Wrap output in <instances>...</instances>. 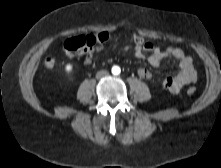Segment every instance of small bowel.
<instances>
[{
	"label": "small bowel",
	"instance_id": "small-bowel-1",
	"mask_svg": "<svg viewBox=\"0 0 221 168\" xmlns=\"http://www.w3.org/2000/svg\"><path fill=\"white\" fill-rule=\"evenodd\" d=\"M121 49L133 51L137 58H147L149 64L155 68L159 67L162 61L166 59L178 62V73L162 81V87L171 93H178L184 86L197 80V71L193 59L180 48L169 47L162 50L153 43L148 42L145 47H137L131 44L122 46ZM84 61L86 64H90L92 62V53H88ZM137 74L143 79L152 78L150 71L143 67L137 70Z\"/></svg>",
	"mask_w": 221,
	"mask_h": 168
}]
</instances>
